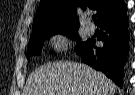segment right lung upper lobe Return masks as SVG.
Here are the masks:
<instances>
[{
    "mask_svg": "<svg viewBox=\"0 0 135 95\" xmlns=\"http://www.w3.org/2000/svg\"><path fill=\"white\" fill-rule=\"evenodd\" d=\"M97 11V24L119 19L126 15L123 0H42L38 8L32 33L42 31L77 30L79 22L76 6Z\"/></svg>",
    "mask_w": 135,
    "mask_h": 95,
    "instance_id": "obj_1",
    "label": "right lung upper lobe"
}]
</instances>
